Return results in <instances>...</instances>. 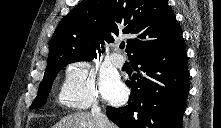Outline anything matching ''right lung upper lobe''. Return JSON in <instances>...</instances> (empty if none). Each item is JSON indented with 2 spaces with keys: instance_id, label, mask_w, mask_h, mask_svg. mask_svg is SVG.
<instances>
[{
  "instance_id": "right-lung-upper-lobe-1",
  "label": "right lung upper lobe",
  "mask_w": 221,
  "mask_h": 128,
  "mask_svg": "<svg viewBox=\"0 0 221 128\" xmlns=\"http://www.w3.org/2000/svg\"><path fill=\"white\" fill-rule=\"evenodd\" d=\"M122 34L127 35L130 60L171 46L182 37L167 0H83L57 26L47 65L97 58L100 44L113 43Z\"/></svg>"
}]
</instances>
